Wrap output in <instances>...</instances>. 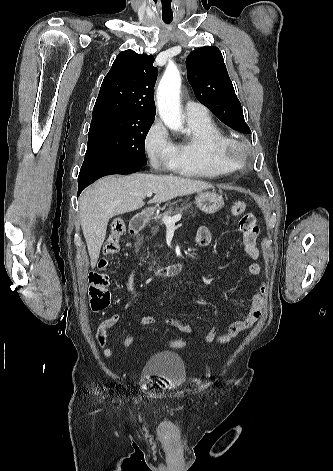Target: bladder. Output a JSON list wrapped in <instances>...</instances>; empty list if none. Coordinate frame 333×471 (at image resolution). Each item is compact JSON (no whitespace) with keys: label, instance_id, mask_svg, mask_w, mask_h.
<instances>
[{"label":"bladder","instance_id":"1","mask_svg":"<svg viewBox=\"0 0 333 471\" xmlns=\"http://www.w3.org/2000/svg\"><path fill=\"white\" fill-rule=\"evenodd\" d=\"M142 375L157 377L168 383L169 389H178L186 381L183 359L176 353L163 351L151 356L142 368Z\"/></svg>","mask_w":333,"mask_h":471}]
</instances>
